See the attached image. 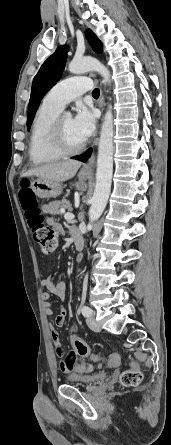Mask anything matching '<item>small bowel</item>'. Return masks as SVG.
<instances>
[{
	"label": "small bowel",
	"instance_id": "obj_1",
	"mask_svg": "<svg viewBox=\"0 0 171 445\" xmlns=\"http://www.w3.org/2000/svg\"><path fill=\"white\" fill-rule=\"evenodd\" d=\"M43 209L45 212L52 214L58 209L57 203H46L43 206ZM48 223L56 230H61V225L56 222L52 217L48 218ZM73 235H79L77 230L72 231ZM41 285L47 290L43 293V299H44V306H45V313L47 315H52L54 311V307L52 303L50 302V294L57 296L60 299H64L66 297V284L63 281L55 282L52 276H48L47 278L43 279L41 281ZM58 310V314L55 317V320L53 323L50 324L51 329V338L55 346V350L57 355L61 358L60 361V369L64 373H70L74 370L76 367V352L73 349V352H70L68 354H65V352L62 349V344L60 340V335L58 332V328L61 327L64 324L67 310L63 305H59L56 307ZM73 328L77 331V326L73 325ZM117 357V362L115 364H111L113 367H116L119 363V355L113 353Z\"/></svg>",
	"mask_w": 171,
	"mask_h": 445
}]
</instances>
